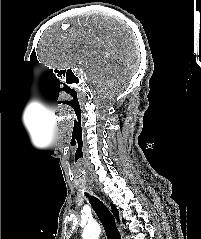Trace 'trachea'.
Wrapping results in <instances>:
<instances>
[{
    "label": "trachea",
    "mask_w": 201,
    "mask_h": 239,
    "mask_svg": "<svg viewBox=\"0 0 201 239\" xmlns=\"http://www.w3.org/2000/svg\"><path fill=\"white\" fill-rule=\"evenodd\" d=\"M85 195L89 198V203L101 221L106 232L107 239H121L115 219L104 203L94 196H89L88 193H85Z\"/></svg>",
    "instance_id": "obj_1"
}]
</instances>
